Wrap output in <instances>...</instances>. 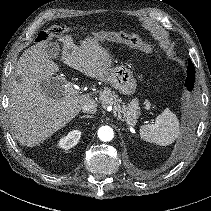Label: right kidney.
<instances>
[{"mask_svg":"<svg viewBox=\"0 0 211 211\" xmlns=\"http://www.w3.org/2000/svg\"><path fill=\"white\" fill-rule=\"evenodd\" d=\"M81 137V132L78 130L71 131L67 136L62 137L59 142L58 146L68 150L78 143L79 139Z\"/></svg>","mask_w":211,"mask_h":211,"instance_id":"right-kidney-1","label":"right kidney"}]
</instances>
